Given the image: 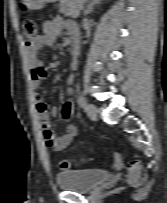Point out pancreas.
<instances>
[{
	"label": "pancreas",
	"mask_w": 167,
	"mask_h": 203,
	"mask_svg": "<svg viewBox=\"0 0 167 203\" xmlns=\"http://www.w3.org/2000/svg\"><path fill=\"white\" fill-rule=\"evenodd\" d=\"M85 0H60L59 12L65 16L73 17Z\"/></svg>",
	"instance_id": "cf45deb5"
}]
</instances>
